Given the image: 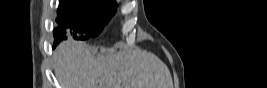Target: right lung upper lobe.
Here are the masks:
<instances>
[{
	"label": "right lung upper lobe",
	"mask_w": 267,
	"mask_h": 88,
	"mask_svg": "<svg viewBox=\"0 0 267 88\" xmlns=\"http://www.w3.org/2000/svg\"><path fill=\"white\" fill-rule=\"evenodd\" d=\"M105 1L115 2V0H105Z\"/></svg>",
	"instance_id": "obj_1"
}]
</instances>
